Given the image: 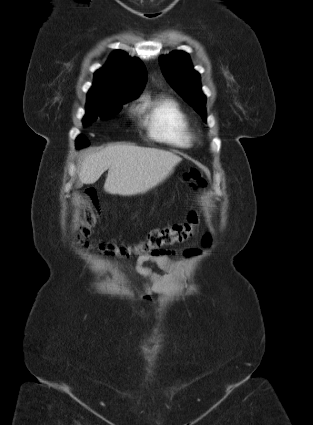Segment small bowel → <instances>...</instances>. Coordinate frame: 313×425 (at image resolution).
Wrapping results in <instances>:
<instances>
[{"label":"small bowel","mask_w":313,"mask_h":425,"mask_svg":"<svg viewBox=\"0 0 313 425\" xmlns=\"http://www.w3.org/2000/svg\"><path fill=\"white\" fill-rule=\"evenodd\" d=\"M147 262L155 263L159 268L168 274L160 275L153 272L145 265ZM174 270L175 263L166 252H162L160 254L140 255L136 261L135 271L140 276L149 280V283L145 285L144 298L150 300L152 294L164 292L172 282V276L169 274Z\"/></svg>","instance_id":"small-bowel-1"}]
</instances>
